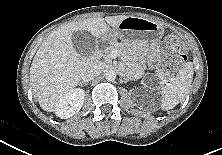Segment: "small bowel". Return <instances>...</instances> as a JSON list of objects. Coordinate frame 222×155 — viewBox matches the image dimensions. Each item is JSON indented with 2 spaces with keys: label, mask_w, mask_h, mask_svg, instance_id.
Returning a JSON list of instances; mask_svg holds the SVG:
<instances>
[{
  "label": "small bowel",
  "mask_w": 222,
  "mask_h": 155,
  "mask_svg": "<svg viewBox=\"0 0 222 155\" xmlns=\"http://www.w3.org/2000/svg\"><path fill=\"white\" fill-rule=\"evenodd\" d=\"M159 56V47L157 44H153L150 49L149 61L151 64L155 65L157 63Z\"/></svg>",
  "instance_id": "small-bowel-1"
}]
</instances>
